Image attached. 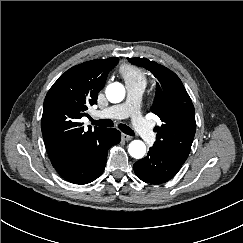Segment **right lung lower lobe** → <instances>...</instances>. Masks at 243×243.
Returning <instances> with one entry per match:
<instances>
[{"instance_id": "1", "label": "right lung lower lobe", "mask_w": 243, "mask_h": 243, "mask_svg": "<svg viewBox=\"0 0 243 243\" xmlns=\"http://www.w3.org/2000/svg\"><path fill=\"white\" fill-rule=\"evenodd\" d=\"M121 134L114 128H105L98 138L82 150L50 154L56 171L67 181L87 184L97 179L105 169L108 149L118 144Z\"/></svg>"}]
</instances>
